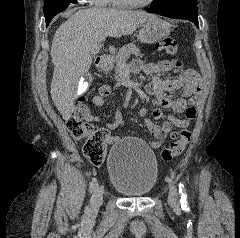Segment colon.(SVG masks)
Returning <instances> with one entry per match:
<instances>
[{"label":"colon","mask_w":240,"mask_h":238,"mask_svg":"<svg viewBox=\"0 0 240 238\" xmlns=\"http://www.w3.org/2000/svg\"><path fill=\"white\" fill-rule=\"evenodd\" d=\"M157 49L171 57L176 67L181 68V62L176 58L178 53V46L174 39L168 37L157 43ZM90 114L89 105L85 98H81L76 103L74 113L67 121V128L70 134L78 140H85L83 147L84 155L93 163H100L105 155L106 145V131L104 129L92 128L86 120ZM175 135L173 138H177ZM191 133L188 130H183L179 137L172 142L169 147L161 152V158L164 161H169L172 158L179 156L190 142Z\"/></svg>","instance_id":"colon-1"}]
</instances>
